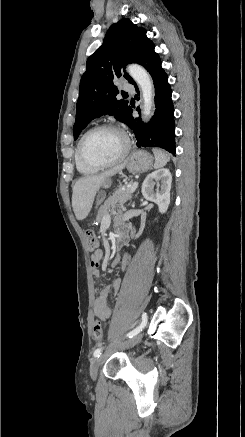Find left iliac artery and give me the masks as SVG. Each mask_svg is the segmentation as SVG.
<instances>
[{
	"label": "left iliac artery",
	"mask_w": 245,
	"mask_h": 437,
	"mask_svg": "<svg viewBox=\"0 0 245 437\" xmlns=\"http://www.w3.org/2000/svg\"><path fill=\"white\" fill-rule=\"evenodd\" d=\"M146 323H147V314H146V313H143V314H142V321H141L140 325L137 326L135 329H133L131 332H129V333L127 334V336H128L129 338H132L133 336H135L136 334H138V333H139V332H140V331H141V330L146 326ZM101 352H102V347L96 349V350L94 351L93 356H94L95 358H97V357H99V356L101 355Z\"/></svg>",
	"instance_id": "left-iliac-artery-1"
}]
</instances>
